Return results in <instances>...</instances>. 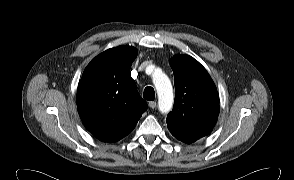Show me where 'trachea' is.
I'll return each mask as SVG.
<instances>
[{
    "instance_id": "obj_1",
    "label": "trachea",
    "mask_w": 294,
    "mask_h": 180,
    "mask_svg": "<svg viewBox=\"0 0 294 180\" xmlns=\"http://www.w3.org/2000/svg\"><path fill=\"white\" fill-rule=\"evenodd\" d=\"M143 97H144V99H146L148 101L154 100V98H155L154 89L150 86H147L144 90Z\"/></svg>"
}]
</instances>
